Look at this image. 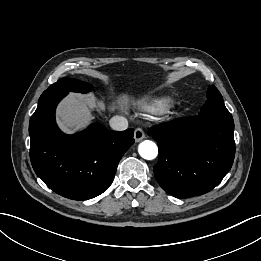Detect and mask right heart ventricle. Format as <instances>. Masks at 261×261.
<instances>
[{
	"label": "right heart ventricle",
	"instance_id": "right-heart-ventricle-1",
	"mask_svg": "<svg viewBox=\"0 0 261 261\" xmlns=\"http://www.w3.org/2000/svg\"><path fill=\"white\" fill-rule=\"evenodd\" d=\"M168 103L166 98H157L151 100H145L141 102L142 108L148 111H159L163 109Z\"/></svg>",
	"mask_w": 261,
	"mask_h": 261
}]
</instances>
